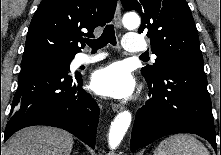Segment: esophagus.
I'll return each mask as SVG.
<instances>
[{
    "label": "esophagus",
    "instance_id": "1",
    "mask_svg": "<svg viewBox=\"0 0 221 155\" xmlns=\"http://www.w3.org/2000/svg\"><path fill=\"white\" fill-rule=\"evenodd\" d=\"M114 23L116 25L117 28H121L122 27V21H121V3L120 1L117 2V6H116V10H115V14H114ZM123 105L120 104H112V109L114 112H118L123 110Z\"/></svg>",
    "mask_w": 221,
    "mask_h": 155
}]
</instances>
